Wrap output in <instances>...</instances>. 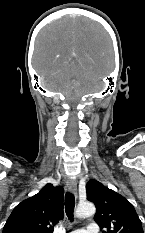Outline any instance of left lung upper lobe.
I'll return each mask as SVG.
<instances>
[{
	"label": "left lung upper lobe",
	"mask_w": 145,
	"mask_h": 233,
	"mask_svg": "<svg viewBox=\"0 0 145 233\" xmlns=\"http://www.w3.org/2000/svg\"><path fill=\"white\" fill-rule=\"evenodd\" d=\"M87 199L96 206L95 222L103 233H144L133 205L97 180L86 185Z\"/></svg>",
	"instance_id": "obj_1"
}]
</instances>
